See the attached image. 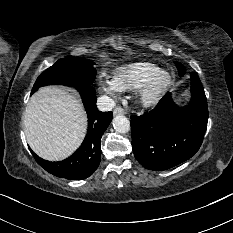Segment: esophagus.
<instances>
[{
	"label": "esophagus",
	"instance_id": "obj_1",
	"mask_svg": "<svg viewBox=\"0 0 233 233\" xmlns=\"http://www.w3.org/2000/svg\"><path fill=\"white\" fill-rule=\"evenodd\" d=\"M113 113L114 115H123L125 114V110L122 107L118 106L113 110Z\"/></svg>",
	"mask_w": 233,
	"mask_h": 233
}]
</instances>
